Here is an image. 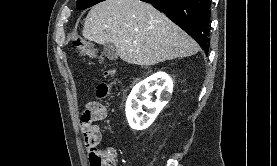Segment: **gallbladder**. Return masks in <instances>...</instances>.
I'll return each mask as SVG.
<instances>
[{
  "label": "gallbladder",
  "mask_w": 277,
  "mask_h": 166,
  "mask_svg": "<svg viewBox=\"0 0 277 166\" xmlns=\"http://www.w3.org/2000/svg\"><path fill=\"white\" fill-rule=\"evenodd\" d=\"M103 52L105 57H107L109 60H116L118 58V50L113 43L104 44Z\"/></svg>",
  "instance_id": "bac80fb5"
}]
</instances>
